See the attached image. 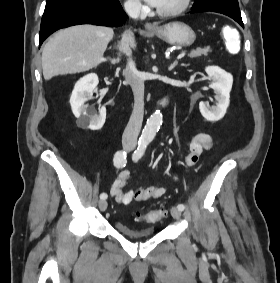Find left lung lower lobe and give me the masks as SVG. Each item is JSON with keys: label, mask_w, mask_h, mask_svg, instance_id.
Here are the masks:
<instances>
[{"label": "left lung lower lobe", "mask_w": 280, "mask_h": 283, "mask_svg": "<svg viewBox=\"0 0 280 283\" xmlns=\"http://www.w3.org/2000/svg\"><path fill=\"white\" fill-rule=\"evenodd\" d=\"M210 10H194L192 9L190 13H199V12H208ZM214 12V11H212ZM233 18L236 22H238L242 27H244L243 22H242V18H236V17H231Z\"/></svg>", "instance_id": "1"}]
</instances>
